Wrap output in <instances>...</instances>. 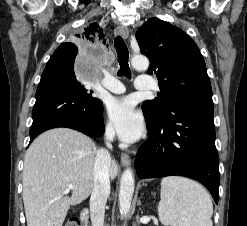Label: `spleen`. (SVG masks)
<instances>
[{
  "label": "spleen",
  "mask_w": 247,
  "mask_h": 226,
  "mask_svg": "<svg viewBox=\"0 0 247 226\" xmlns=\"http://www.w3.org/2000/svg\"><path fill=\"white\" fill-rule=\"evenodd\" d=\"M160 220L170 226H212L213 205L197 182L179 176L161 181Z\"/></svg>",
  "instance_id": "obj_1"
}]
</instances>
